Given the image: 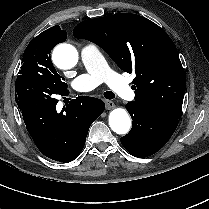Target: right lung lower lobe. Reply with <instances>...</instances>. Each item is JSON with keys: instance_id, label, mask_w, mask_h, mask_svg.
<instances>
[{"instance_id": "1", "label": "right lung lower lobe", "mask_w": 209, "mask_h": 209, "mask_svg": "<svg viewBox=\"0 0 209 209\" xmlns=\"http://www.w3.org/2000/svg\"><path fill=\"white\" fill-rule=\"evenodd\" d=\"M15 100L22 113L27 131L46 157L70 162L82 151L90 125L105 109L102 100L79 96L58 113L52 89L28 80L15 83Z\"/></svg>"}]
</instances>
